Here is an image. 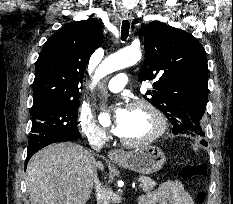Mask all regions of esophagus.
<instances>
[{
    "label": "esophagus",
    "mask_w": 233,
    "mask_h": 204,
    "mask_svg": "<svg viewBox=\"0 0 233 204\" xmlns=\"http://www.w3.org/2000/svg\"><path fill=\"white\" fill-rule=\"evenodd\" d=\"M122 16L124 19L131 20L132 14L129 11H124L122 13ZM126 156V153L122 149H114L109 152V158L113 161H118L124 159Z\"/></svg>",
    "instance_id": "obj_1"
}]
</instances>
